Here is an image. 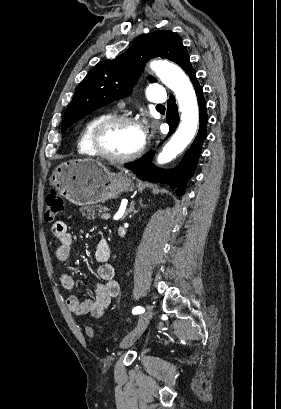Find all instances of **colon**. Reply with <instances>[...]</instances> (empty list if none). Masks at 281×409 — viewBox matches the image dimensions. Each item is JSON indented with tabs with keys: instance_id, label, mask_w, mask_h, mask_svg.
I'll list each match as a JSON object with an SVG mask.
<instances>
[{
	"instance_id": "5ec220e1",
	"label": "colon",
	"mask_w": 281,
	"mask_h": 409,
	"mask_svg": "<svg viewBox=\"0 0 281 409\" xmlns=\"http://www.w3.org/2000/svg\"><path fill=\"white\" fill-rule=\"evenodd\" d=\"M45 206H46V212H45V218L48 221H53L57 218H59L61 212L63 211L64 204L62 199L59 197V195L55 192L49 194L45 198ZM86 334L87 335H92L93 334V329L92 328H87L86 329Z\"/></svg>"
}]
</instances>
